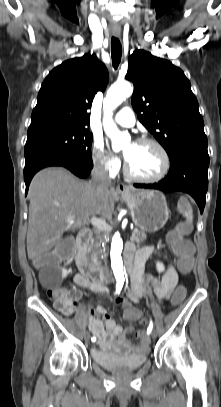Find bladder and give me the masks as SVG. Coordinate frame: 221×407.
I'll return each mask as SVG.
<instances>
[{
    "label": "bladder",
    "instance_id": "1",
    "mask_svg": "<svg viewBox=\"0 0 221 407\" xmlns=\"http://www.w3.org/2000/svg\"><path fill=\"white\" fill-rule=\"evenodd\" d=\"M91 358L94 363L110 371L135 370L147 361V349L125 354L120 350L91 349Z\"/></svg>",
    "mask_w": 221,
    "mask_h": 407
}]
</instances>
